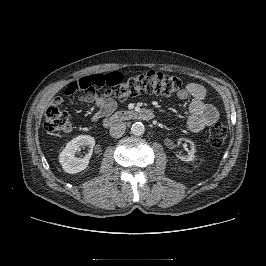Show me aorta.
Instances as JSON below:
<instances>
[{"label": "aorta", "instance_id": "1", "mask_svg": "<svg viewBox=\"0 0 266 266\" xmlns=\"http://www.w3.org/2000/svg\"><path fill=\"white\" fill-rule=\"evenodd\" d=\"M145 132V126L141 122H135L131 127V133L135 136H141Z\"/></svg>", "mask_w": 266, "mask_h": 266}]
</instances>
